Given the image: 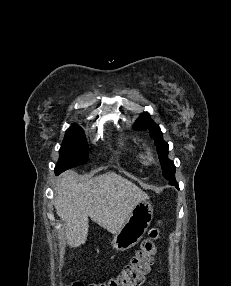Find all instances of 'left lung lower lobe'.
Returning a JSON list of instances; mask_svg holds the SVG:
<instances>
[{"instance_id":"left-lung-lower-lobe-1","label":"left lung lower lobe","mask_w":231,"mask_h":286,"mask_svg":"<svg viewBox=\"0 0 231 286\" xmlns=\"http://www.w3.org/2000/svg\"><path fill=\"white\" fill-rule=\"evenodd\" d=\"M171 185H176L178 187V184L176 183L175 179H173L171 182H170Z\"/></svg>"}]
</instances>
